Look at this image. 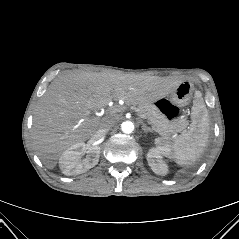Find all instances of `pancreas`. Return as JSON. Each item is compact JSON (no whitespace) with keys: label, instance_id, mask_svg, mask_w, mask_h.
<instances>
[{"label":"pancreas","instance_id":"cf45deb5","mask_svg":"<svg viewBox=\"0 0 239 239\" xmlns=\"http://www.w3.org/2000/svg\"><path fill=\"white\" fill-rule=\"evenodd\" d=\"M131 109L137 113L144 114L153 130L165 137L180 132L187 126V121L185 119H178L170 123L166 116L153 104L134 105Z\"/></svg>","mask_w":239,"mask_h":239}]
</instances>
